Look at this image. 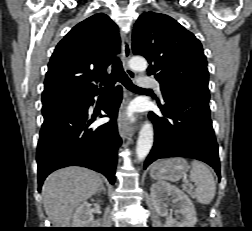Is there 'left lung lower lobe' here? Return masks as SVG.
<instances>
[{
    "label": "left lung lower lobe",
    "mask_w": 252,
    "mask_h": 231,
    "mask_svg": "<svg viewBox=\"0 0 252 231\" xmlns=\"http://www.w3.org/2000/svg\"><path fill=\"white\" fill-rule=\"evenodd\" d=\"M163 118L153 112L154 145L144 169L161 158L189 157L209 164L220 179L218 145L210 118L209 92L186 86L165 94Z\"/></svg>",
    "instance_id": "obj_1"
}]
</instances>
